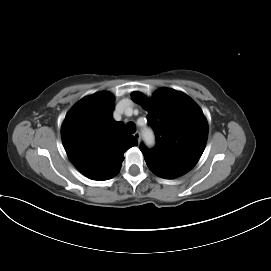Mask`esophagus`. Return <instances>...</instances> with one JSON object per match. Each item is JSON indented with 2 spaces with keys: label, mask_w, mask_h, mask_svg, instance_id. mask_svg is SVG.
Listing matches in <instances>:
<instances>
[{
  "label": "esophagus",
  "mask_w": 271,
  "mask_h": 271,
  "mask_svg": "<svg viewBox=\"0 0 271 271\" xmlns=\"http://www.w3.org/2000/svg\"><path fill=\"white\" fill-rule=\"evenodd\" d=\"M134 137H135V139L138 141V143L140 142V140H141V134H140V132L139 131H136L135 133H134Z\"/></svg>",
  "instance_id": "obj_1"
}]
</instances>
